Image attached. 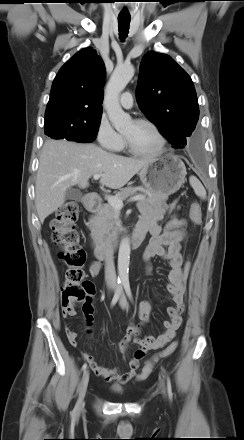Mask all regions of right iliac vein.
I'll use <instances>...</instances> for the list:
<instances>
[{
    "label": "right iliac vein",
    "instance_id": "1",
    "mask_svg": "<svg viewBox=\"0 0 244 440\" xmlns=\"http://www.w3.org/2000/svg\"><path fill=\"white\" fill-rule=\"evenodd\" d=\"M88 382H89V370H85L81 380L79 398L75 407L76 410L80 409L81 406L83 405V400L87 390Z\"/></svg>",
    "mask_w": 244,
    "mask_h": 440
}]
</instances>
